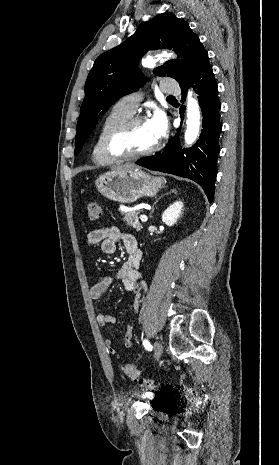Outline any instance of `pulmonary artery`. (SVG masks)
<instances>
[{
    "instance_id": "1",
    "label": "pulmonary artery",
    "mask_w": 279,
    "mask_h": 465,
    "mask_svg": "<svg viewBox=\"0 0 279 465\" xmlns=\"http://www.w3.org/2000/svg\"><path fill=\"white\" fill-rule=\"evenodd\" d=\"M161 90L167 94H177L179 92V87L174 83L165 81L161 85ZM141 99L142 96L139 93H132L122 97L117 104L126 111L134 114L139 106Z\"/></svg>"
}]
</instances>
